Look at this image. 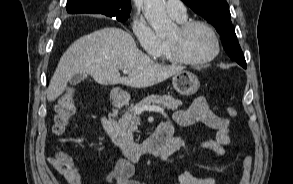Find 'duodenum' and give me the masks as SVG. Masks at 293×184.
I'll use <instances>...</instances> for the list:
<instances>
[{
	"mask_svg": "<svg viewBox=\"0 0 293 184\" xmlns=\"http://www.w3.org/2000/svg\"><path fill=\"white\" fill-rule=\"evenodd\" d=\"M123 94L115 93L111 97L113 112L102 117L101 123L105 134L120 152L131 161H139L144 156H160L173 150V129L169 122H162L154 133L141 143L123 136L116 128L117 111L126 104Z\"/></svg>",
	"mask_w": 293,
	"mask_h": 184,
	"instance_id": "obj_1",
	"label": "duodenum"
}]
</instances>
